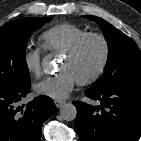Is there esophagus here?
Wrapping results in <instances>:
<instances>
[{"label":"esophagus","instance_id":"34e87169","mask_svg":"<svg viewBox=\"0 0 141 141\" xmlns=\"http://www.w3.org/2000/svg\"><path fill=\"white\" fill-rule=\"evenodd\" d=\"M55 105L57 108H61L63 105H65L64 101L56 100Z\"/></svg>","mask_w":141,"mask_h":141}]
</instances>
